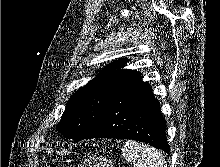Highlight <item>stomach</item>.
<instances>
[{
    "instance_id": "obj_1",
    "label": "stomach",
    "mask_w": 220,
    "mask_h": 167,
    "mask_svg": "<svg viewBox=\"0 0 220 167\" xmlns=\"http://www.w3.org/2000/svg\"><path fill=\"white\" fill-rule=\"evenodd\" d=\"M78 167H113V162L102 156H92L79 164Z\"/></svg>"
}]
</instances>
